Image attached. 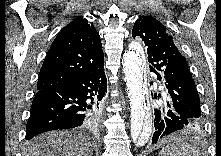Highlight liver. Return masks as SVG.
Instances as JSON below:
<instances>
[{"instance_id": "obj_1", "label": "liver", "mask_w": 221, "mask_h": 156, "mask_svg": "<svg viewBox=\"0 0 221 156\" xmlns=\"http://www.w3.org/2000/svg\"><path fill=\"white\" fill-rule=\"evenodd\" d=\"M24 156H92L93 145L71 131H54L26 142Z\"/></svg>"}]
</instances>
